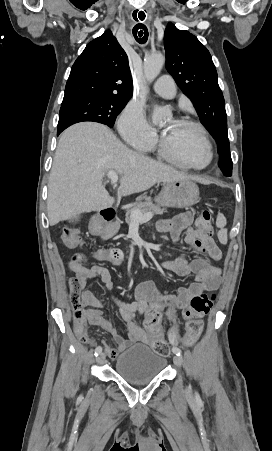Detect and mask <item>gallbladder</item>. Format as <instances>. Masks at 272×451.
<instances>
[{
    "instance_id": "bac80fb5",
    "label": "gallbladder",
    "mask_w": 272,
    "mask_h": 451,
    "mask_svg": "<svg viewBox=\"0 0 272 451\" xmlns=\"http://www.w3.org/2000/svg\"><path fill=\"white\" fill-rule=\"evenodd\" d=\"M79 220V216H76V218H71V222H77Z\"/></svg>"
}]
</instances>
